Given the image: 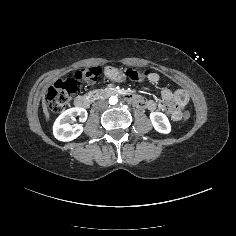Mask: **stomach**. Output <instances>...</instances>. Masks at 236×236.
I'll return each instance as SVG.
<instances>
[{
    "label": "stomach",
    "instance_id": "obj_1",
    "mask_svg": "<svg viewBox=\"0 0 236 236\" xmlns=\"http://www.w3.org/2000/svg\"><path fill=\"white\" fill-rule=\"evenodd\" d=\"M104 75L106 78L116 83H123L126 81V75L118 68L113 66H105Z\"/></svg>",
    "mask_w": 236,
    "mask_h": 236
}]
</instances>
